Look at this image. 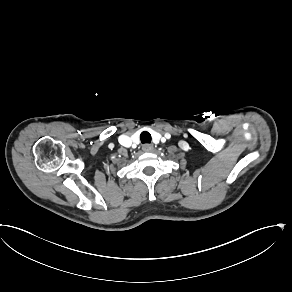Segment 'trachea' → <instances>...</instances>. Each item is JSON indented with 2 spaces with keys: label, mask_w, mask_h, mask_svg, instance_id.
Listing matches in <instances>:
<instances>
[{
  "label": "trachea",
  "mask_w": 292,
  "mask_h": 292,
  "mask_svg": "<svg viewBox=\"0 0 292 292\" xmlns=\"http://www.w3.org/2000/svg\"><path fill=\"white\" fill-rule=\"evenodd\" d=\"M141 143H151L152 137L151 134L147 131H143L140 134Z\"/></svg>",
  "instance_id": "3493384b"
}]
</instances>
